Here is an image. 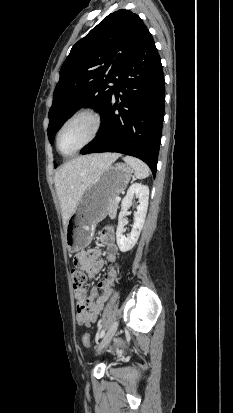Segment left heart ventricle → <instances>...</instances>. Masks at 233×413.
Masks as SVG:
<instances>
[{"label": "left heart ventricle", "instance_id": "1", "mask_svg": "<svg viewBox=\"0 0 233 413\" xmlns=\"http://www.w3.org/2000/svg\"><path fill=\"white\" fill-rule=\"evenodd\" d=\"M92 130L93 122L89 117L82 116L73 120L60 135V150L65 154L71 153L89 138Z\"/></svg>", "mask_w": 233, "mask_h": 413}]
</instances>
